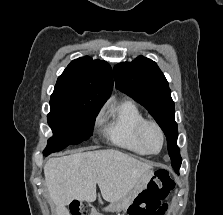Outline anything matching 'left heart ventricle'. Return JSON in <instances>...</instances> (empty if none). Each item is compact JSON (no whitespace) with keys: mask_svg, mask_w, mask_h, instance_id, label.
Listing matches in <instances>:
<instances>
[{"mask_svg":"<svg viewBox=\"0 0 223 215\" xmlns=\"http://www.w3.org/2000/svg\"><path fill=\"white\" fill-rule=\"evenodd\" d=\"M160 136L154 127L149 126L144 135V145L147 149L156 151L160 148Z\"/></svg>","mask_w":223,"mask_h":215,"instance_id":"b2bd125f","label":"left heart ventricle"}]
</instances>
